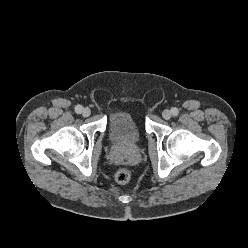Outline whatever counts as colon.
<instances>
[{
  "label": "colon",
  "mask_w": 248,
  "mask_h": 248,
  "mask_svg": "<svg viewBox=\"0 0 248 248\" xmlns=\"http://www.w3.org/2000/svg\"><path fill=\"white\" fill-rule=\"evenodd\" d=\"M115 179L120 184H126L131 180V172L126 168L119 169L115 174Z\"/></svg>",
  "instance_id": "1"
}]
</instances>
